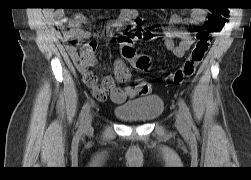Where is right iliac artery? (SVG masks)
<instances>
[{
  "mask_svg": "<svg viewBox=\"0 0 251 180\" xmlns=\"http://www.w3.org/2000/svg\"><path fill=\"white\" fill-rule=\"evenodd\" d=\"M89 110H90V104L89 102H86L81 110L80 117H79V123H80L81 129L83 128V125L85 123Z\"/></svg>",
  "mask_w": 251,
  "mask_h": 180,
  "instance_id": "right-iliac-artery-1",
  "label": "right iliac artery"
}]
</instances>
